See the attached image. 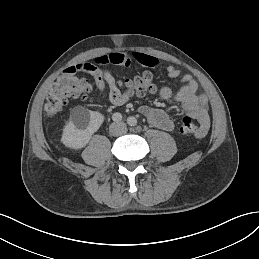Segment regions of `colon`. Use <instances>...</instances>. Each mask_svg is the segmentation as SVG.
Here are the masks:
<instances>
[{"mask_svg": "<svg viewBox=\"0 0 259 259\" xmlns=\"http://www.w3.org/2000/svg\"><path fill=\"white\" fill-rule=\"evenodd\" d=\"M154 90L152 75L144 72L134 78L127 79L123 83L117 82L118 95L126 92L131 95L143 96ZM91 85L75 73H63L52 85L46 99L45 112L53 118L59 114L68 102V99L89 100L91 96ZM199 126L195 124L190 116L181 120L180 132L185 135H196Z\"/></svg>", "mask_w": 259, "mask_h": 259, "instance_id": "obj_1", "label": "colon"}]
</instances>
